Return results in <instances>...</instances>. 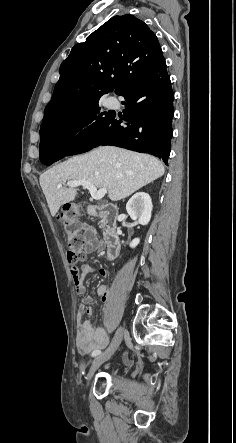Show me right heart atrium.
<instances>
[{
	"mask_svg": "<svg viewBox=\"0 0 236 443\" xmlns=\"http://www.w3.org/2000/svg\"><path fill=\"white\" fill-rule=\"evenodd\" d=\"M84 130H85V128H84V127H82V128H80V129H79L78 133H79V134H80V133H83V132H84Z\"/></svg>",
	"mask_w": 236,
	"mask_h": 443,
	"instance_id": "obj_1",
	"label": "right heart atrium"
}]
</instances>
